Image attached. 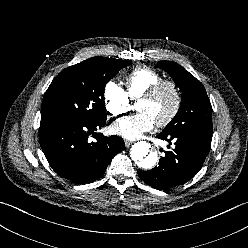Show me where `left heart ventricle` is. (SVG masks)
<instances>
[{
  "label": "left heart ventricle",
  "instance_id": "left-heart-ventricle-1",
  "mask_svg": "<svg viewBox=\"0 0 248 248\" xmlns=\"http://www.w3.org/2000/svg\"><path fill=\"white\" fill-rule=\"evenodd\" d=\"M174 102L175 97L172 89L164 87L153 99L140 100L137 110L139 112H146L157 123L170 113Z\"/></svg>",
  "mask_w": 248,
  "mask_h": 248
}]
</instances>
